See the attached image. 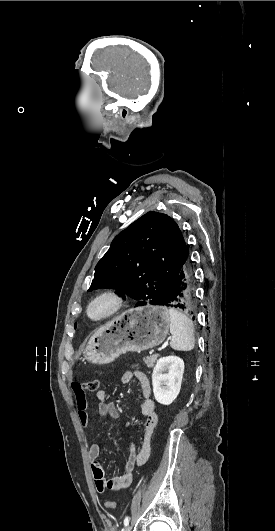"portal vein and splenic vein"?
<instances>
[{"instance_id":"portal-vein-and-splenic-vein-1","label":"portal vein and splenic vein","mask_w":275,"mask_h":531,"mask_svg":"<svg viewBox=\"0 0 275 531\" xmlns=\"http://www.w3.org/2000/svg\"><path fill=\"white\" fill-rule=\"evenodd\" d=\"M169 344H170L169 339H166V341H165V343H164V346L159 347L158 352H161V350H162V349H165V346H169Z\"/></svg>"}]
</instances>
